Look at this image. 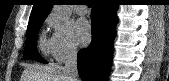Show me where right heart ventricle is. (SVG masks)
I'll use <instances>...</instances> for the list:
<instances>
[{
  "mask_svg": "<svg viewBox=\"0 0 169 81\" xmlns=\"http://www.w3.org/2000/svg\"><path fill=\"white\" fill-rule=\"evenodd\" d=\"M40 48H41L43 51H47V50H48V44H47V42L45 41L44 37H41V38H40Z\"/></svg>",
  "mask_w": 169,
  "mask_h": 81,
  "instance_id": "1",
  "label": "right heart ventricle"
}]
</instances>
